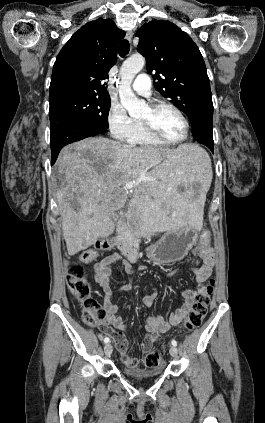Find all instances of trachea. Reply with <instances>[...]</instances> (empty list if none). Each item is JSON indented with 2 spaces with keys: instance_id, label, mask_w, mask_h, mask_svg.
Wrapping results in <instances>:
<instances>
[{
  "instance_id": "trachea-1",
  "label": "trachea",
  "mask_w": 265,
  "mask_h": 423,
  "mask_svg": "<svg viewBox=\"0 0 265 423\" xmlns=\"http://www.w3.org/2000/svg\"><path fill=\"white\" fill-rule=\"evenodd\" d=\"M130 51V44L128 40H122L119 44V55L121 57L126 56Z\"/></svg>"
}]
</instances>
